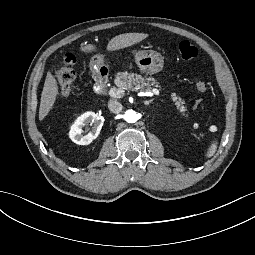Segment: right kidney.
I'll list each match as a JSON object with an SVG mask.
<instances>
[{
    "instance_id": "ca27d5eb",
    "label": "right kidney",
    "mask_w": 255,
    "mask_h": 255,
    "mask_svg": "<svg viewBox=\"0 0 255 255\" xmlns=\"http://www.w3.org/2000/svg\"><path fill=\"white\" fill-rule=\"evenodd\" d=\"M104 124V117L95 113L89 112L82 115L70 130V137L72 141L79 145L90 144L97 138ZM89 132L87 135L83 133Z\"/></svg>"
}]
</instances>
